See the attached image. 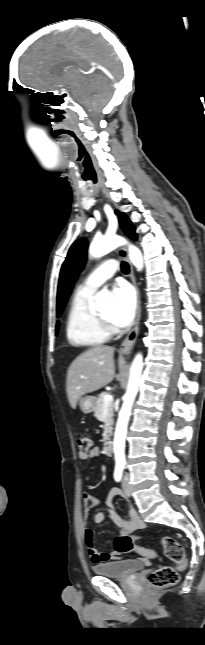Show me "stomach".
<instances>
[{
  "mask_svg": "<svg viewBox=\"0 0 205 645\" xmlns=\"http://www.w3.org/2000/svg\"><path fill=\"white\" fill-rule=\"evenodd\" d=\"M96 406V398L93 396L81 397L79 400V407L83 413H91Z\"/></svg>",
  "mask_w": 205,
  "mask_h": 645,
  "instance_id": "0dacf381",
  "label": "stomach"
}]
</instances>
